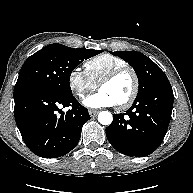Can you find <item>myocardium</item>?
Returning a JSON list of instances; mask_svg holds the SVG:
<instances>
[{"instance_id": "obj_1", "label": "myocardium", "mask_w": 193, "mask_h": 193, "mask_svg": "<svg viewBox=\"0 0 193 193\" xmlns=\"http://www.w3.org/2000/svg\"><path fill=\"white\" fill-rule=\"evenodd\" d=\"M126 72H128L132 75L134 85H133V90H132L130 96L128 97V99L126 101L116 105V108L119 110H124V109L129 108L135 102V100L139 94L140 80H139V76H138L137 72L135 71V69L129 65L116 68V69L112 70L111 72H109L108 74H106L98 83V88L100 89L103 85L113 81L118 76H120L121 74L126 73Z\"/></svg>"}]
</instances>
